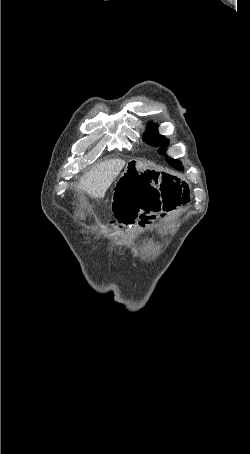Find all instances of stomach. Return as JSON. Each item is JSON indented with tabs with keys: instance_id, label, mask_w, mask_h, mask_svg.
<instances>
[{
	"instance_id": "obj_1",
	"label": "stomach",
	"mask_w": 250,
	"mask_h": 454,
	"mask_svg": "<svg viewBox=\"0 0 250 454\" xmlns=\"http://www.w3.org/2000/svg\"><path fill=\"white\" fill-rule=\"evenodd\" d=\"M121 176H156V171L139 162H129Z\"/></svg>"
}]
</instances>
